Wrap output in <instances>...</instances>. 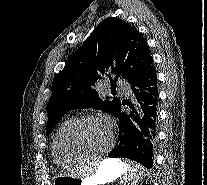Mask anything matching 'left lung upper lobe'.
Here are the masks:
<instances>
[{"mask_svg":"<svg viewBox=\"0 0 207 185\" xmlns=\"http://www.w3.org/2000/svg\"><path fill=\"white\" fill-rule=\"evenodd\" d=\"M152 64L147 42L136 28L118 18L104 19L54 77L52 97L47 105L46 134L72 109L94 107L116 116L121 108L120 98L101 99L95 89L97 81L108 76L112 95H116L119 77L131 83Z\"/></svg>","mask_w":207,"mask_h":185,"instance_id":"obj_1","label":"left lung upper lobe"}]
</instances>
